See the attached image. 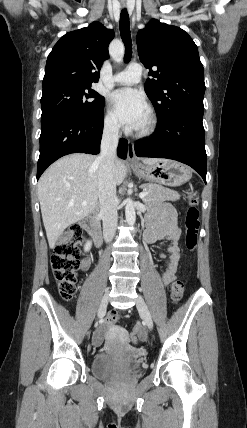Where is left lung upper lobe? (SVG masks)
<instances>
[{
	"mask_svg": "<svg viewBox=\"0 0 247 428\" xmlns=\"http://www.w3.org/2000/svg\"><path fill=\"white\" fill-rule=\"evenodd\" d=\"M137 46L149 75L157 78L148 79L144 88L159 120L177 108L204 111L203 66L196 44L184 30L152 19L138 32Z\"/></svg>",
	"mask_w": 247,
	"mask_h": 428,
	"instance_id": "5c2ea615",
	"label": "left lung upper lobe"
}]
</instances>
